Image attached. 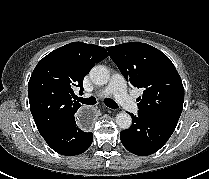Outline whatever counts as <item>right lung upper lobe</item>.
Segmentation results:
<instances>
[{
    "mask_svg": "<svg viewBox=\"0 0 209 179\" xmlns=\"http://www.w3.org/2000/svg\"><path fill=\"white\" fill-rule=\"evenodd\" d=\"M108 56L105 48L73 42L39 61L28 84L30 110L42 137L72 117L81 106L73 100V88L83 92V79Z\"/></svg>",
    "mask_w": 209,
    "mask_h": 179,
    "instance_id": "cb5924a9",
    "label": "right lung upper lobe"
}]
</instances>
